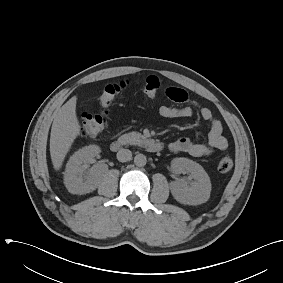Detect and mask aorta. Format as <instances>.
<instances>
[{"label": "aorta", "mask_w": 283, "mask_h": 283, "mask_svg": "<svg viewBox=\"0 0 283 283\" xmlns=\"http://www.w3.org/2000/svg\"><path fill=\"white\" fill-rule=\"evenodd\" d=\"M134 163L136 166L138 167H143L146 165L147 163V159H146V156L144 154H137L135 157H134Z\"/></svg>", "instance_id": "762f6f07"}]
</instances>
